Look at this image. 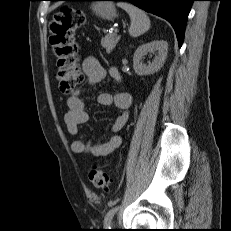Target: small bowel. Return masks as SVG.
<instances>
[{"label": "small bowel", "mask_w": 231, "mask_h": 231, "mask_svg": "<svg viewBox=\"0 0 231 231\" xmlns=\"http://www.w3.org/2000/svg\"><path fill=\"white\" fill-rule=\"evenodd\" d=\"M83 72L87 77L89 84L101 82L107 74L116 80H120L121 76L115 67L106 70L95 57H87L82 63ZM99 104L109 106L114 104L123 112L114 120L111 131L116 133L120 131L128 121L129 108L132 103V97L127 92L117 94L101 93L98 96ZM89 119V114L84 100L81 98L79 91L72 93L67 99V109L64 115V122L68 133L74 136L78 133L79 126L86 123ZM122 143L119 135L113 134L106 141L96 142L94 140H76L70 145L71 150L76 154H88L94 157L107 156L118 148Z\"/></svg>", "instance_id": "1"}]
</instances>
